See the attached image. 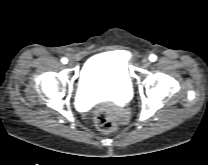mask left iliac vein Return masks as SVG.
<instances>
[{
	"label": "left iliac vein",
	"instance_id": "4c4485c4",
	"mask_svg": "<svg viewBox=\"0 0 208 165\" xmlns=\"http://www.w3.org/2000/svg\"><path fill=\"white\" fill-rule=\"evenodd\" d=\"M142 63H143V65H144L145 67H148V66H150V64H151L150 59H149L148 57H144V58L142 59Z\"/></svg>",
	"mask_w": 208,
	"mask_h": 165
}]
</instances>
